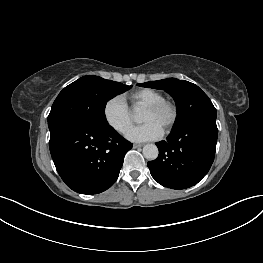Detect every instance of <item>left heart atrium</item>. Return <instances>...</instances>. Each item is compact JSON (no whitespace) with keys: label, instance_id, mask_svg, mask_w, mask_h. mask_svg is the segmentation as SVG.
Masks as SVG:
<instances>
[{"label":"left heart atrium","instance_id":"39dd6f15","mask_svg":"<svg viewBox=\"0 0 263 263\" xmlns=\"http://www.w3.org/2000/svg\"><path fill=\"white\" fill-rule=\"evenodd\" d=\"M163 135V128L154 121L133 126L126 132V138L134 142L157 140Z\"/></svg>","mask_w":263,"mask_h":263}]
</instances>
